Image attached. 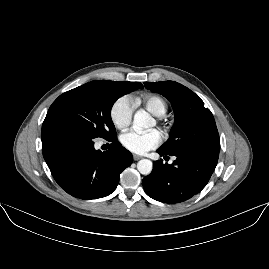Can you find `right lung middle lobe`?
I'll return each instance as SVG.
<instances>
[{
  "label": "right lung middle lobe",
  "instance_id": "obj_1",
  "mask_svg": "<svg viewBox=\"0 0 269 269\" xmlns=\"http://www.w3.org/2000/svg\"><path fill=\"white\" fill-rule=\"evenodd\" d=\"M137 88L116 90L91 82L60 95L50 106L46 118L64 121L82 135L94 139H117L110 112L115 101Z\"/></svg>",
  "mask_w": 269,
  "mask_h": 269
}]
</instances>
